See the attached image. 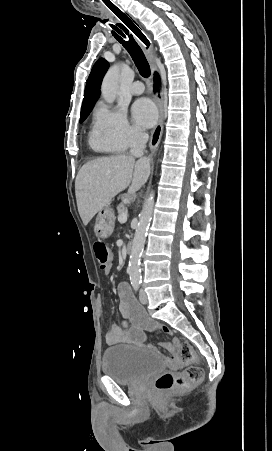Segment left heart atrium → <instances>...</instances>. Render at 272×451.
Returning a JSON list of instances; mask_svg holds the SVG:
<instances>
[{"instance_id":"left-heart-atrium-1","label":"left heart atrium","mask_w":272,"mask_h":451,"mask_svg":"<svg viewBox=\"0 0 272 451\" xmlns=\"http://www.w3.org/2000/svg\"><path fill=\"white\" fill-rule=\"evenodd\" d=\"M133 116L137 124L150 126L156 118V110L151 101L142 99L133 106Z\"/></svg>"}]
</instances>
